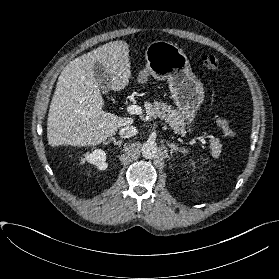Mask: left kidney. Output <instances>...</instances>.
I'll return each mask as SVG.
<instances>
[{
    "label": "left kidney",
    "instance_id": "1",
    "mask_svg": "<svg viewBox=\"0 0 279 279\" xmlns=\"http://www.w3.org/2000/svg\"><path fill=\"white\" fill-rule=\"evenodd\" d=\"M192 165H195V162H192ZM195 167V166H194Z\"/></svg>",
    "mask_w": 279,
    "mask_h": 279
}]
</instances>
